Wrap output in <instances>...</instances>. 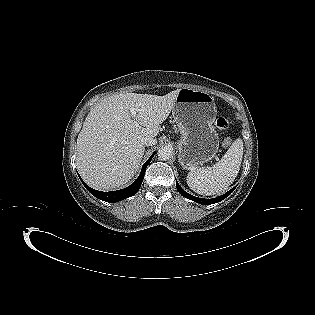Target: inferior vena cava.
<instances>
[{
  "label": "inferior vena cava",
  "instance_id": "1",
  "mask_svg": "<svg viewBox=\"0 0 315 315\" xmlns=\"http://www.w3.org/2000/svg\"><path fill=\"white\" fill-rule=\"evenodd\" d=\"M142 143L143 145L145 146H152V145H155V139L153 138H150V137H145L143 140H142Z\"/></svg>",
  "mask_w": 315,
  "mask_h": 315
}]
</instances>
